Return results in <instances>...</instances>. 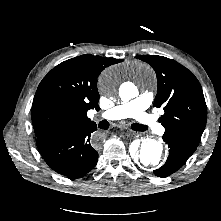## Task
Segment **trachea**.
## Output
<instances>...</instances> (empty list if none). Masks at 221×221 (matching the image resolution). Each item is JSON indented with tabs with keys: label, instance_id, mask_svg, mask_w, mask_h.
<instances>
[{
	"label": "trachea",
	"instance_id": "3493384b",
	"mask_svg": "<svg viewBox=\"0 0 221 221\" xmlns=\"http://www.w3.org/2000/svg\"><path fill=\"white\" fill-rule=\"evenodd\" d=\"M99 127L101 129H108L109 123L106 120H103L99 123ZM131 129L135 130V131H146L147 130L146 126H144L142 124H132Z\"/></svg>",
	"mask_w": 221,
	"mask_h": 221
}]
</instances>
